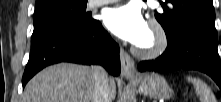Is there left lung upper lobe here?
Listing matches in <instances>:
<instances>
[{
    "label": "left lung upper lobe",
    "mask_w": 221,
    "mask_h": 102,
    "mask_svg": "<svg viewBox=\"0 0 221 102\" xmlns=\"http://www.w3.org/2000/svg\"><path fill=\"white\" fill-rule=\"evenodd\" d=\"M161 4L163 12H156L155 17L164 28L167 39L192 29L217 41L212 0H166Z\"/></svg>",
    "instance_id": "1"
}]
</instances>
